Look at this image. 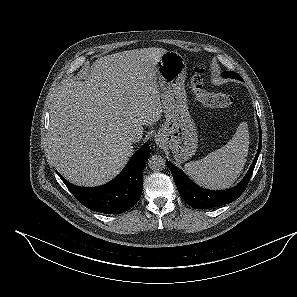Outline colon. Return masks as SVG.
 Masks as SVG:
<instances>
[{"label":"colon","mask_w":297,"mask_h":297,"mask_svg":"<svg viewBox=\"0 0 297 297\" xmlns=\"http://www.w3.org/2000/svg\"><path fill=\"white\" fill-rule=\"evenodd\" d=\"M202 67H197L191 77V89L196 99L205 107L210 109H228L235 105V100L228 94L211 93L203 87Z\"/></svg>","instance_id":"obj_1"}]
</instances>
